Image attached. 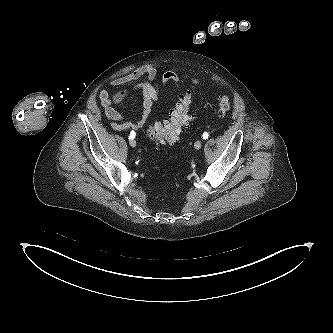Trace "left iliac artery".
<instances>
[{"mask_svg":"<svg viewBox=\"0 0 333 333\" xmlns=\"http://www.w3.org/2000/svg\"><path fill=\"white\" fill-rule=\"evenodd\" d=\"M208 137H209V134L207 133V132H204L203 134H202V138L203 139H208Z\"/></svg>","mask_w":333,"mask_h":333,"instance_id":"1","label":"left iliac artery"}]
</instances>
